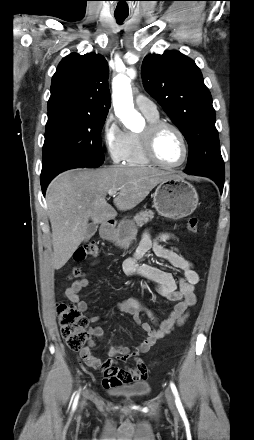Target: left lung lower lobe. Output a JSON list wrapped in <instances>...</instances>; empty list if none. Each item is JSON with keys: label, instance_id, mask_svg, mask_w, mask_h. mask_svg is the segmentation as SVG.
I'll return each mask as SVG.
<instances>
[{"label": "left lung lower lobe", "instance_id": "0a47b994", "mask_svg": "<svg viewBox=\"0 0 254 440\" xmlns=\"http://www.w3.org/2000/svg\"><path fill=\"white\" fill-rule=\"evenodd\" d=\"M208 177L212 178L219 186L220 190H223V185H224V178L222 177H216L213 175H209Z\"/></svg>", "mask_w": 254, "mask_h": 440}]
</instances>
